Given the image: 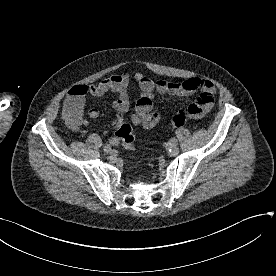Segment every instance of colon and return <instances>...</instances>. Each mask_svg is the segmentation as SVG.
I'll list each match as a JSON object with an SVG mask.
<instances>
[{
  "mask_svg": "<svg viewBox=\"0 0 276 276\" xmlns=\"http://www.w3.org/2000/svg\"><path fill=\"white\" fill-rule=\"evenodd\" d=\"M140 106L144 109V123L151 127L157 123L158 114L154 112L152 106L153 102L142 99L139 101ZM199 112L194 105H188L184 109L173 114L171 117V124L175 127L183 126L190 118ZM70 122H76V115L74 113H69L66 115ZM116 137L121 142V145L126 150H132L134 147V134L133 128L130 124L125 122H120L116 127Z\"/></svg>",
  "mask_w": 276,
  "mask_h": 276,
  "instance_id": "obj_1",
  "label": "colon"
}]
</instances>
